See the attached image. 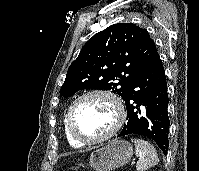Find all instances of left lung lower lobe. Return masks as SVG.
Instances as JSON below:
<instances>
[{"label":"left lung lower lobe","instance_id":"left-lung-lower-lobe-1","mask_svg":"<svg viewBox=\"0 0 199 171\" xmlns=\"http://www.w3.org/2000/svg\"><path fill=\"white\" fill-rule=\"evenodd\" d=\"M123 100L127 119L119 136H146L154 140L163 153L167 154L169 100L165 71L158 52L135 78Z\"/></svg>","mask_w":199,"mask_h":171}]
</instances>
